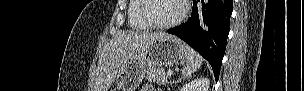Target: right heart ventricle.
<instances>
[{"mask_svg": "<svg viewBox=\"0 0 304 91\" xmlns=\"http://www.w3.org/2000/svg\"><path fill=\"white\" fill-rule=\"evenodd\" d=\"M141 0H131L128 6L129 26L134 30H146L149 27L143 22L140 16Z\"/></svg>", "mask_w": 304, "mask_h": 91, "instance_id": "right-heart-ventricle-1", "label": "right heart ventricle"}]
</instances>
